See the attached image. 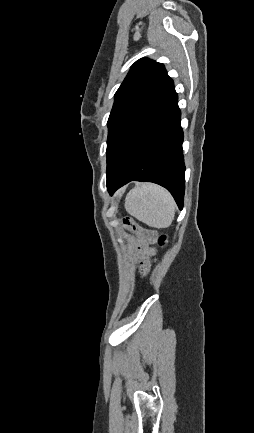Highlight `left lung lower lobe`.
<instances>
[{
    "label": "left lung lower lobe",
    "mask_w": 254,
    "mask_h": 433,
    "mask_svg": "<svg viewBox=\"0 0 254 433\" xmlns=\"http://www.w3.org/2000/svg\"><path fill=\"white\" fill-rule=\"evenodd\" d=\"M177 98L173 86L139 129L117 170L107 180L110 195L133 180L154 182L167 188L182 209L185 165Z\"/></svg>",
    "instance_id": "1"
}]
</instances>
